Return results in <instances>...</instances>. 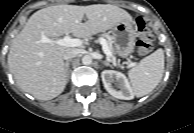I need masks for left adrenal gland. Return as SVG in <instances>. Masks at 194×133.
Wrapping results in <instances>:
<instances>
[{
  "label": "left adrenal gland",
  "mask_w": 194,
  "mask_h": 133,
  "mask_svg": "<svg viewBox=\"0 0 194 133\" xmlns=\"http://www.w3.org/2000/svg\"><path fill=\"white\" fill-rule=\"evenodd\" d=\"M102 63L105 66H109V67L113 68V66L108 61H103Z\"/></svg>",
  "instance_id": "1"
}]
</instances>
